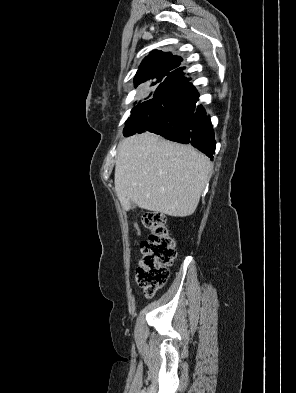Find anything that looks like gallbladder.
Segmentation results:
<instances>
[{"label":"gallbladder","instance_id":"gallbladder-1","mask_svg":"<svg viewBox=\"0 0 296 393\" xmlns=\"http://www.w3.org/2000/svg\"><path fill=\"white\" fill-rule=\"evenodd\" d=\"M131 208L134 209L135 208V204L131 203Z\"/></svg>","mask_w":296,"mask_h":393}]
</instances>
